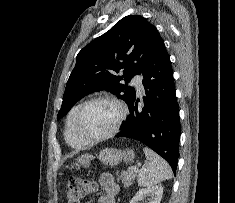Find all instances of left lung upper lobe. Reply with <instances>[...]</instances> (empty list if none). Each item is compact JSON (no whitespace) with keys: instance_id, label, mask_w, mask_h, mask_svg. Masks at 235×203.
Returning a JSON list of instances; mask_svg holds the SVG:
<instances>
[{"instance_id":"5c2ea615","label":"left lung upper lobe","mask_w":235,"mask_h":203,"mask_svg":"<svg viewBox=\"0 0 235 203\" xmlns=\"http://www.w3.org/2000/svg\"><path fill=\"white\" fill-rule=\"evenodd\" d=\"M161 39L156 27L139 15L122 18L77 55L57 118L63 117L84 96L109 90L127 105L135 89L122 84L140 74ZM122 72V76L117 73Z\"/></svg>"}]
</instances>
